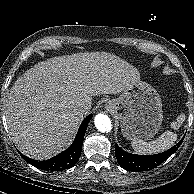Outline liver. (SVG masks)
<instances>
[{"label":"liver","mask_w":194,"mask_h":194,"mask_svg":"<svg viewBox=\"0 0 194 194\" xmlns=\"http://www.w3.org/2000/svg\"><path fill=\"white\" fill-rule=\"evenodd\" d=\"M138 70L107 52L78 53L40 62L27 70L7 96L6 121L25 155L49 159L73 138L92 96L119 94L139 80ZM87 105L85 112L80 105Z\"/></svg>","instance_id":"1"}]
</instances>
